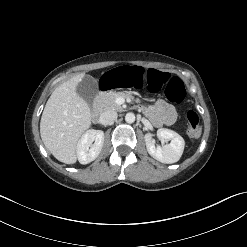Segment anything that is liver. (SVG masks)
Returning <instances> with one entry per match:
<instances>
[{
	"label": "liver",
	"instance_id": "6515ba94",
	"mask_svg": "<svg viewBox=\"0 0 247 247\" xmlns=\"http://www.w3.org/2000/svg\"><path fill=\"white\" fill-rule=\"evenodd\" d=\"M85 73L77 74L59 85L49 97L40 121V134L45 147L60 162L77 161V145L91 126L88 103L76 92Z\"/></svg>",
	"mask_w": 247,
	"mask_h": 247
}]
</instances>
